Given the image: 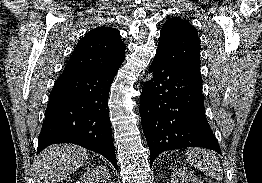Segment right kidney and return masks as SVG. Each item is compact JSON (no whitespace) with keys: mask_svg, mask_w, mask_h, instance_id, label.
Here are the masks:
<instances>
[{"mask_svg":"<svg viewBox=\"0 0 262 183\" xmlns=\"http://www.w3.org/2000/svg\"><path fill=\"white\" fill-rule=\"evenodd\" d=\"M110 178V173L105 166H96L84 173L81 183H112Z\"/></svg>","mask_w":262,"mask_h":183,"instance_id":"obj_1","label":"right kidney"}]
</instances>
